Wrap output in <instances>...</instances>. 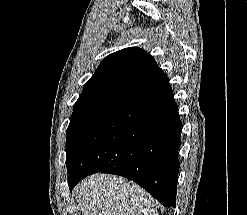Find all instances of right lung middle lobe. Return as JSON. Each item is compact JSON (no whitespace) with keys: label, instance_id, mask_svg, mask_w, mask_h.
Returning a JSON list of instances; mask_svg holds the SVG:
<instances>
[{"label":"right lung middle lobe","instance_id":"dd1d6c3e","mask_svg":"<svg viewBox=\"0 0 247 215\" xmlns=\"http://www.w3.org/2000/svg\"><path fill=\"white\" fill-rule=\"evenodd\" d=\"M128 88H112L82 92L74 104L66 136V166L69 172L72 159L86 132L106 115L127 93Z\"/></svg>","mask_w":247,"mask_h":215}]
</instances>
